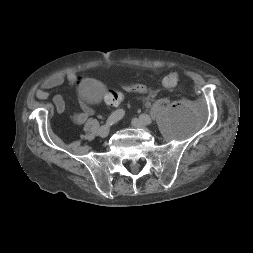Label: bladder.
<instances>
[{
  "label": "bladder",
  "instance_id": "bladder-1",
  "mask_svg": "<svg viewBox=\"0 0 253 253\" xmlns=\"http://www.w3.org/2000/svg\"><path fill=\"white\" fill-rule=\"evenodd\" d=\"M80 97L89 104L99 102L106 94L105 87L95 79H85L79 86Z\"/></svg>",
  "mask_w": 253,
  "mask_h": 253
}]
</instances>
